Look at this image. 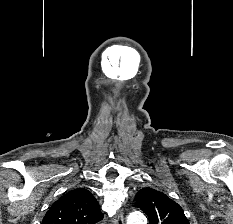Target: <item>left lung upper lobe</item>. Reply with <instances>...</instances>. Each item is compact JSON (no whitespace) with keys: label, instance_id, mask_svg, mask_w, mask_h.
<instances>
[{"label":"left lung upper lobe","instance_id":"1","mask_svg":"<svg viewBox=\"0 0 233 224\" xmlns=\"http://www.w3.org/2000/svg\"><path fill=\"white\" fill-rule=\"evenodd\" d=\"M135 201L134 206L147 214L150 224H189L180 205L160 191L143 188Z\"/></svg>","mask_w":233,"mask_h":224}]
</instances>
